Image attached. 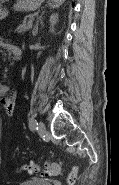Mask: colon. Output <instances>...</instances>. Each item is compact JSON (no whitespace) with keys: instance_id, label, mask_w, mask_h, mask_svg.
I'll return each instance as SVG.
<instances>
[{"instance_id":"colon-1","label":"colon","mask_w":119,"mask_h":185,"mask_svg":"<svg viewBox=\"0 0 119 185\" xmlns=\"http://www.w3.org/2000/svg\"><path fill=\"white\" fill-rule=\"evenodd\" d=\"M22 170H25L29 173L39 174L42 173L45 176H56L61 174L62 166L58 162H49L46 163L43 167L34 162L24 163L21 166ZM78 178V168L74 167L68 175L69 185H74Z\"/></svg>"}]
</instances>
